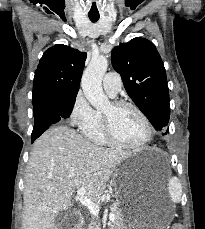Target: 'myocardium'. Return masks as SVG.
<instances>
[{"instance_id": "1", "label": "myocardium", "mask_w": 205, "mask_h": 229, "mask_svg": "<svg viewBox=\"0 0 205 229\" xmlns=\"http://www.w3.org/2000/svg\"><path fill=\"white\" fill-rule=\"evenodd\" d=\"M111 105L115 109H119L123 107L132 108L142 119L145 125V128H146V135L142 141L135 143V144H128V143L122 142L121 140H119L116 137L114 133L113 122H112L111 117L102 112L103 130H104V134L108 142L113 146L125 148V149H139L147 145L150 142L152 138V134H153L152 125L147 115L136 104L129 102V101L115 100L111 102Z\"/></svg>"}]
</instances>
